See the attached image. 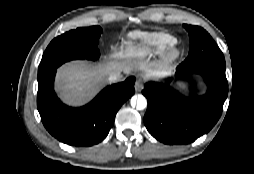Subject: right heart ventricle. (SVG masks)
Here are the masks:
<instances>
[{
  "label": "right heart ventricle",
  "mask_w": 254,
  "mask_h": 174,
  "mask_svg": "<svg viewBox=\"0 0 254 174\" xmlns=\"http://www.w3.org/2000/svg\"><path fill=\"white\" fill-rule=\"evenodd\" d=\"M176 41L174 35L165 31H134L128 34L125 48L128 55L135 58H144L163 52Z\"/></svg>",
  "instance_id": "1"
}]
</instances>
